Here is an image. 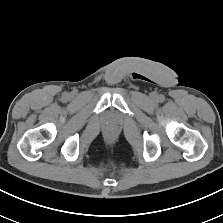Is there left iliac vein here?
Returning <instances> with one entry per match:
<instances>
[{
	"mask_svg": "<svg viewBox=\"0 0 223 223\" xmlns=\"http://www.w3.org/2000/svg\"><path fill=\"white\" fill-rule=\"evenodd\" d=\"M152 97L154 98L155 97V94H153Z\"/></svg>",
	"mask_w": 223,
	"mask_h": 223,
	"instance_id": "4c4485c4",
	"label": "left iliac vein"
}]
</instances>
